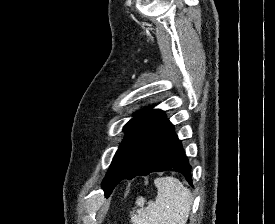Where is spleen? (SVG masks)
Masks as SVG:
<instances>
[{"label":"spleen","mask_w":275,"mask_h":224,"mask_svg":"<svg viewBox=\"0 0 275 224\" xmlns=\"http://www.w3.org/2000/svg\"><path fill=\"white\" fill-rule=\"evenodd\" d=\"M157 187L155 201L148 202L138 197L140 207L130 213L132 224H186L193 197L191 191L174 177H160L154 180Z\"/></svg>","instance_id":"spleen-1"}]
</instances>
